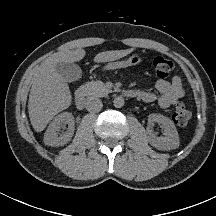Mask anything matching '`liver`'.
Wrapping results in <instances>:
<instances>
[{"label":"liver","mask_w":216,"mask_h":216,"mask_svg":"<svg viewBox=\"0 0 216 216\" xmlns=\"http://www.w3.org/2000/svg\"><path fill=\"white\" fill-rule=\"evenodd\" d=\"M132 51L131 48L100 52L94 57V62H112ZM85 54L83 49L58 52L47 58L39 67L28 101L29 118L36 132L43 131L56 114L71 105L72 96L69 86L56 71V64L80 61Z\"/></svg>","instance_id":"liver-1"}]
</instances>
